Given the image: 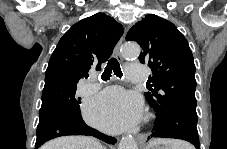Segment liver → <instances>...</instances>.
I'll use <instances>...</instances> for the list:
<instances>
[{"label": "liver", "mask_w": 227, "mask_h": 149, "mask_svg": "<svg viewBox=\"0 0 227 149\" xmlns=\"http://www.w3.org/2000/svg\"><path fill=\"white\" fill-rule=\"evenodd\" d=\"M41 149H104L102 145L92 137L64 136L53 139L41 147Z\"/></svg>", "instance_id": "1"}]
</instances>
